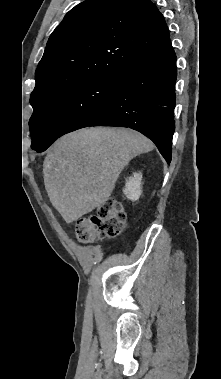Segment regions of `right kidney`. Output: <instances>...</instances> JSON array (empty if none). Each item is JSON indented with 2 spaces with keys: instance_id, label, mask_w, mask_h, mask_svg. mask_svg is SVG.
Returning <instances> with one entry per match:
<instances>
[{
  "instance_id": "right-kidney-1",
  "label": "right kidney",
  "mask_w": 221,
  "mask_h": 379,
  "mask_svg": "<svg viewBox=\"0 0 221 379\" xmlns=\"http://www.w3.org/2000/svg\"><path fill=\"white\" fill-rule=\"evenodd\" d=\"M141 173H134L132 177H129L126 180L125 188L123 189V193L126 197L132 201H136L139 199L141 195Z\"/></svg>"
}]
</instances>
